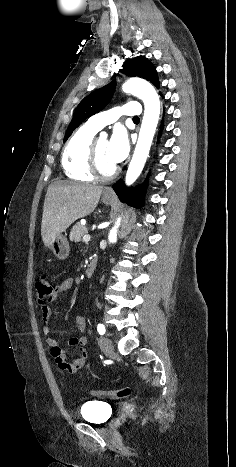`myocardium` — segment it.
Wrapping results in <instances>:
<instances>
[{
    "label": "myocardium",
    "mask_w": 236,
    "mask_h": 467,
    "mask_svg": "<svg viewBox=\"0 0 236 467\" xmlns=\"http://www.w3.org/2000/svg\"><path fill=\"white\" fill-rule=\"evenodd\" d=\"M89 170L91 174L101 180H110L114 178L119 168L115 165L109 172H104L99 164V155L97 151V140H93L89 151Z\"/></svg>",
    "instance_id": "obj_1"
}]
</instances>
